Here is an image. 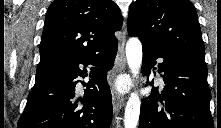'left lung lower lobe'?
<instances>
[{
    "instance_id": "1",
    "label": "left lung lower lobe",
    "mask_w": 221,
    "mask_h": 128,
    "mask_svg": "<svg viewBox=\"0 0 221 128\" xmlns=\"http://www.w3.org/2000/svg\"><path fill=\"white\" fill-rule=\"evenodd\" d=\"M142 46L144 73L149 76L155 59L163 58L158 72H164L166 85L153 87L142 101L139 128H213L206 65L165 48Z\"/></svg>"
}]
</instances>
